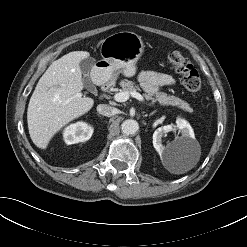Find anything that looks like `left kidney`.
I'll use <instances>...</instances> for the list:
<instances>
[{
  "mask_svg": "<svg viewBox=\"0 0 247 247\" xmlns=\"http://www.w3.org/2000/svg\"><path fill=\"white\" fill-rule=\"evenodd\" d=\"M177 129L181 133V136H177L174 141L167 146H164L162 144V137H164L168 132L175 131ZM196 145L197 141L195 139L192 127L187 121L181 118L177 120L176 126L166 125L160 127L153 134V146L163 158H168L171 155L187 156Z\"/></svg>",
  "mask_w": 247,
  "mask_h": 247,
  "instance_id": "5707ae66",
  "label": "left kidney"
}]
</instances>
